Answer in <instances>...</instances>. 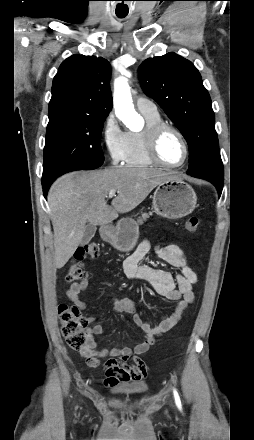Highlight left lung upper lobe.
<instances>
[{
	"mask_svg": "<svg viewBox=\"0 0 254 440\" xmlns=\"http://www.w3.org/2000/svg\"><path fill=\"white\" fill-rule=\"evenodd\" d=\"M139 79L144 92L163 108L186 139L189 147L187 173L213 184L222 183L224 170L214 112L197 68L170 52L143 61Z\"/></svg>",
	"mask_w": 254,
	"mask_h": 440,
	"instance_id": "5c2ea615",
	"label": "left lung upper lobe"
}]
</instances>
